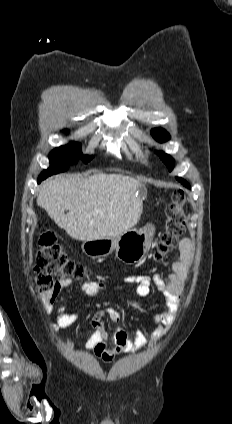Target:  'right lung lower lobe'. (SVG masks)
<instances>
[{"mask_svg":"<svg viewBox=\"0 0 232 424\" xmlns=\"http://www.w3.org/2000/svg\"><path fill=\"white\" fill-rule=\"evenodd\" d=\"M43 179H38V183H40Z\"/></svg>","mask_w":232,"mask_h":424,"instance_id":"right-lung-lower-lobe-1","label":"right lung lower lobe"}]
</instances>
